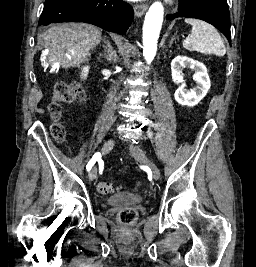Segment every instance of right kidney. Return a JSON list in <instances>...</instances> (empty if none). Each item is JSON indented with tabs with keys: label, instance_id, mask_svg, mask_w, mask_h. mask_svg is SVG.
<instances>
[{
	"label": "right kidney",
	"instance_id": "right-kidney-1",
	"mask_svg": "<svg viewBox=\"0 0 256 267\" xmlns=\"http://www.w3.org/2000/svg\"><path fill=\"white\" fill-rule=\"evenodd\" d=\"M89 70H90L89 66H83V68H81V76L83 80H86Z\"/></svg>",
	"mask_w": 256,
	"mask_h": 267
}]
</instances>
